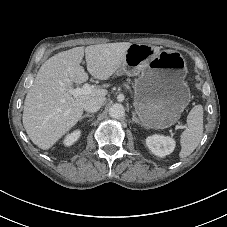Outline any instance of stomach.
<instances>
[{
	"mask_svg": "<svg viewBox=\"0 0 227 227\" xmlns=\"http://www.w3.org/2000/svg\"><path fill=\"white\" fill-rule=\"evenodd\" d=\"M116 74H140L134 84V106L140 123L147 129L174 125L190 102L186 62L177 51L131 44Z\"/></svg>",
	"mask_w": 227,
	"mask_h": 227,
	"instance_id": "obj_1",
	"label": "stomach"
}]
</instances>
